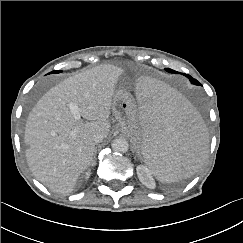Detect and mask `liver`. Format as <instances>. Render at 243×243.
Masks as SVG:
<instances>
[{
  "mask_svg": "<svg viewBox=\"0 0 243 243\" xmlns=\"http://www.w3.org/2000/svg\"><path fill=\"white\" fill-rule=\"evenodd\" d=\"M122 74L110 64L82 71L51 88L32 109L25 127L26 158L33 175L50 190L72 192L93 163L92 137L109 133L112 99ZM70 103L88 122L73 117Z\"/></svg>",
  "mask_w": 243,
  "mask_h": 243,
  "instance_id": "obj_1",
  "label": "liver"
}]
</instances>
